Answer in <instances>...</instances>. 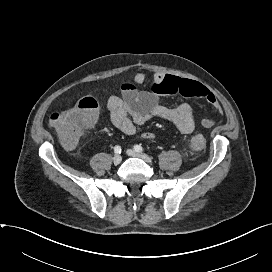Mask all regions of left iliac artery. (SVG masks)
Returning <instances> with one entry per match:
<instances>
[{
	"mask_svg": "<svg viewBox=\"0 0 272 272\" xmlns=\"http://www.w3.org/2000/svg\"><path fill=\"white\" fill-rule=\"evenodd\" d=\"M134 149H135V151H137V152H142V151H143V148H142V146H140V145H135V146H134Z\"/></svg>",
	"mask_w": 272,
	"mask_h": 272,
	"instance_id": "obj_1",
	"label": "left iliac artery"
}]
</instances>
